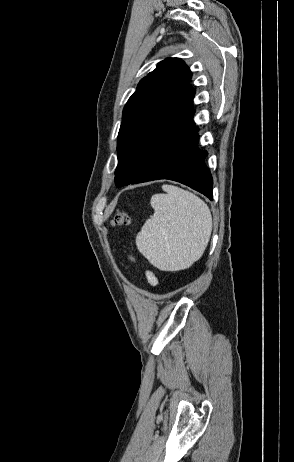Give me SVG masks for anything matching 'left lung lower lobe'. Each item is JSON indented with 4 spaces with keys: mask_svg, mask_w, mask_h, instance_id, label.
<instances>
[{
    "mask_svg": "<svg viewBox=\"0 0 294 462\" xmlns=\"http://www.w3.org/2000/svg\"><path fill=\"white\" fill-rule=\"evenodd\" d=\"M194 94L189 85L180 98L154 108L115 176L117 187L169 179L213 200V180L204 162L207 152L197 148Z\"/></svg>",
    "mask_w": 294,
    "mask_h": 462,
    "instance_id": "left-lung-lower-lobe-1",
    "label": "left lung lower lobe"
}]
</instances>
